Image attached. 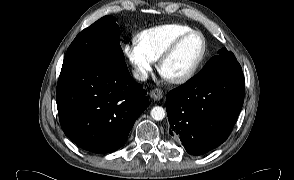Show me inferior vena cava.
I'll list each match as a JSON object with an SVG mask.
<instances>
[{
	"mask_svg": "<svg viewBox=\"0 0 294 180\" xmlns=\"http://www.w3.org/2000/svg\"><path fill=\"white\" fill-rule=\"evenodd\" d=\"M133 76L135 79L139 80V81H145L148 79V73L144 70V69H135L133 71Z\"/></svg>",
	"mask_w": 294,
	"mask_h": 180,
	"instance_id": "inferior-vena-cava-1",
	"label": "inferior vena cava"
}]
</instances>
